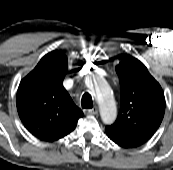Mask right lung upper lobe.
I'll list each match as a JSON object with an SVG mask.
<instances>
[{"label": "right lung upper lobe", "instance_id": "right-lung-upper-lobe-1", "mask_svg": "<svg viewBox=\"0 0 173 170\" xmlns=\"http://www.w3.org/2000/svg\"><path fill=\"white\" fill-rule=\"evenodd\" d=\"M67 68V57L52 51L20 82L16 99L19 117L40 140L52 142L66 136L83 116L63 87Z\"/></svg>", "mask_w": 173, "mask_h": 170}]
</instances>
